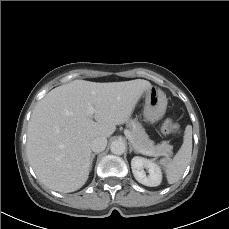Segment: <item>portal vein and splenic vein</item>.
Masks as SVG:
<instances>
[{"label": "portal vein and splenic vein", "mask_w": 229, "mask_h": 229, "mask_svg": "<svg viewBox=\"0 0 229 229\" xmlns=\"http://www.w3.org/2000/svg\"><path fill=\"white\" fill-rule=\"evenodd\" d=\"M87 108H88L87 109V113H88L89 116H92L96 112L95 108L92 105H90V104H88V107ZM124 134H125L126 138L130 141V143L135 147V149H137L139 151V153H142V154L148 155V156H153L154 155V152L153 151H149V150H145V149L141 148L133 140V138H132L131 133H130L129 130L126 129L124 131Z\"/></svg>", "instance_id": "portal-vein-and-splenic-vein-1"}]
</instances>
